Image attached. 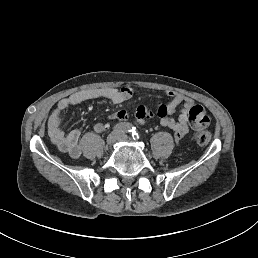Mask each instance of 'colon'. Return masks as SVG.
<instances>
[{
    "label": "colon",
    "instance_id": "colon-1",
    "mask_svg": "<svg viewBox=\"0 0 258 258\" xmlns=\"http://www.w3.org/2000/svg\"><path fill=\"white\" fill-rule=\"evenodd\" d=\"M194 140L198 145L206 146L211 141V133L204 129H199L194 134Z\"/></svg>",
    "mask_w": 258,
    "mask_h": 258
}]
</instances>
